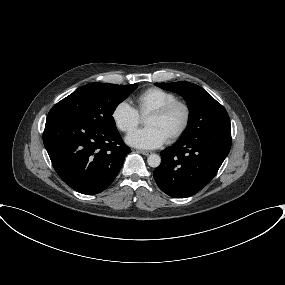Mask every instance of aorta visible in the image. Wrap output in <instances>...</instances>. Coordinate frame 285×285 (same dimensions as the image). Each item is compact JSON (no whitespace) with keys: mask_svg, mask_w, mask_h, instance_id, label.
Instances as JSON below:
<instances>
[{"mask_svg":"<svg viewBox=\"0 0 285 285\" xmlns=\"http://www.w3.org/2000/svg\"><path fill=\"white\" fill-rule=\"evenodd\" d=\"M147 163L150 167L156 168L161 163V157L157 154H151L147 158Z\"/></svg>","mask_w":285,"mask_h":285,"instance_id":"762f6f07","label":"aorta"}]
</instances>
